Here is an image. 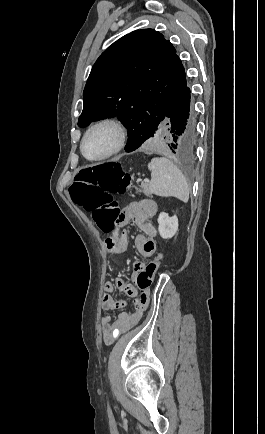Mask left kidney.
I'll use <instances>...</instances> for the list:
<instances>
[{"label": "left kidney", "mask_w": 265, "mask_h": 434, "mask_svg": "<svg viewBox=\"0 0 265 434\" xmlns=\"http://www.w3.org/2000/svg\"><path fill=\"white\" fill-rule=\"evenodd\" d=\"M158 224L159 234L161 238H164V240L173 238L178 230L177 216H172V218H169L168 214H165V212H161V214H159Z\"/></svg>", "instance_id": "1"}]
</instances>
